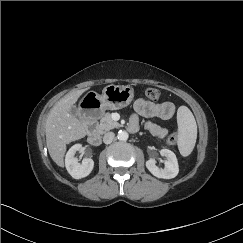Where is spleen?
I'll return each instance as SVG.
<instances>
[{"mask_svg": "<svg viewBox=\"0 0 243 243\" xmlns=\"http://www.w3.org/2000/svg\"><path fill=\"white\" fill-rule=\"evenodd\" d=\"M178 149L183 157L189 156L194 149L197 139V124L195 118L186 106L177 110Z\"/></svg>", "mask_w": 243, "mask_h": 243, "instance_id": "spleen-1", "label": "spleen"}]
</instances>
